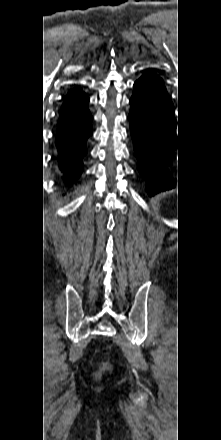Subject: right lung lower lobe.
<instances>
[{"instance_id": "98d812e1", "label": "right lung lower lobe", "mask_w": 221, "mask_h": 440, "mask_svg": "<svg viewBox=\"0 0 221 440\" xmlns=\"http://www.w3.org/2000/svg\"><path fill=\"white\" fill-rule=\"evenodd\" d=\"M89 98L80 89L66 95L60 110L56 146L59 167L64 180L71 184L83 171L82 158L87 153L86 140L92 134V115L88 109Z\"/></svg>"}]
</instances>
